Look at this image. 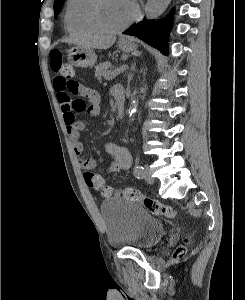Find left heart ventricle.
I'll return each mask as SVG.
<instances>
[{
  "label": "left heart ventricle",
  "mask_w": 245,
  "mask_h": 300,
  "mask_svg": "<svg viewBox=\"0 0 245 300\" xmlns=\"http://www.w3.org/2000/svg\"><path fill=\"white\" fill-rule=\"evenodd\" d=\"M97 19L107 28H116L126 23L134 14L128 0H100Z\"/></svg>",
  "instance_id": "left-heart-ventricle-1"
}]
</instances>
